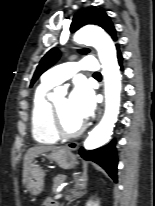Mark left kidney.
I'll return each instance as SVG.
<instances>
[{
  "label": "left kidney",
  "instance_id": "obj_1",
  "mask_svg": "<svg viewBox=\"0 0 155 206\" xmlns=\"http://www.w3.org/2000/svg\"><path fill=\"white\" fill-rule=\"evenodd\" d=\"M86 206H99V202H98V201L89 200V201L86 203Z\"/></svg>",
  "mask_w": 155,
  "mask_h": 206
}]
</instances>
